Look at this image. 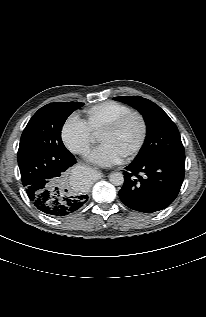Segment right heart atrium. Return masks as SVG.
I'll return each mask as SVG.
<instances>
[{
  "instance_id": "d8ad5b80",
  "label": "right heart atrium",
  "mask_w": 206,
  "mask_h": 317,
  "mask_svg": "<svg viewBox=\"0 0 206 317\" xmlns=\"http://www.w3.org/2000/svg\"><path fill=\"white\" fill-rule=\"evenodd\" d=\"M61 139L73 153L85 154L88 152L94 136L84 120L72 115L62 124Z\"/></svg>"
}]
</instances>
